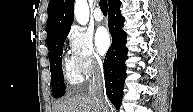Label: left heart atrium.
Here are the masks:
<instances>
[{
	"instance_id": "left-heart-atrium-1",
	"label": "left heart atrium",
	"mask_w": 193,
	"mask_h": 112,
	"mask_svg": "<svg viewBox=\"0 0 193 112\" xmlns=\"http://www.w3.org/2000/svg\"><path fill=\"white\" fill-rule=\"evenodd\" d=\"M95 44L99 54L104 55L108 51L111 45V38L105 28L101 27L97 30L95 34Z\"/></svg>"
}]
</instances>
